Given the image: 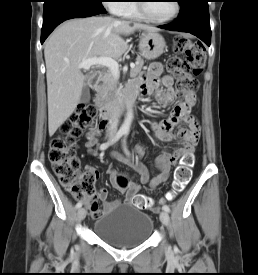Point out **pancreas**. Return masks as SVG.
<instances>
[{"instance_id":"1","label":"pancreas","mask_w":258,"mask_h":275,"mask_svg":"<svg viewBox=\"0 0 258 275\" xmlns=\"http://www.w3.org/2000/svg\"><path fill=\"white\" fill-rule=\"evenodd\" d=\"M143 65L144 60L138 56L136 58L135 67L130 70V76L136 77L141 72ZM118 80L119 77L114 76L111 71L106 72L102 78V84L96 89L97 95L95 102L98 104H103L113 100L116 97L115 94L118 92Z\"/></svg>"}]
</instances>
